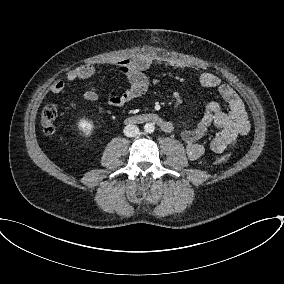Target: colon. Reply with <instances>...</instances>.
<instances>
[{"instance_id": "5ec220e1", "label": "colon", "mask_w": 284, "mask_h": 284, "mask_svg": "<svg viewBox=\"0 0 284 284\" xmlns=\"http://www.w3.org/2000/svg\"><path fill=\"white\" fill-rule=\"evenodd\" d=\"M57 116H58L57 109L54 105L49 104L43 108L40 116V124L43 129V132L46 135H53L55 133L56 131L55 123ZM227 158L228 156L224 155L217 160V163L218 164L225 163L227 161Z\"/></svg>"}]
</instances>
